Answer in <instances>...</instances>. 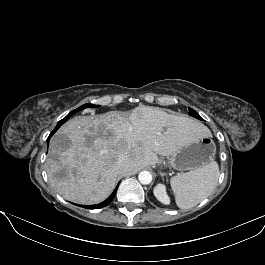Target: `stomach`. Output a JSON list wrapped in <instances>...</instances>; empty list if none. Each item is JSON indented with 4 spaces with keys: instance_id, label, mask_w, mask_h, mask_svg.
<instances>
[{
    "instance_id": "1",
    "label": "stomach",
    "mask_w": 265,
    "mask_h": 265,
    "mask_svg": "<svg viewBox=\"0 0 265 265\" xmlns=\"http://www.w3.org/2000/svg\"><path fill=\"white\" fill-rule=\"evenodd\" d=\"M216 152L210 134L188 137L183 144L168 157L167 166L178 171L195 170L209 164Z\"/></svg>"
}]
</instances>
